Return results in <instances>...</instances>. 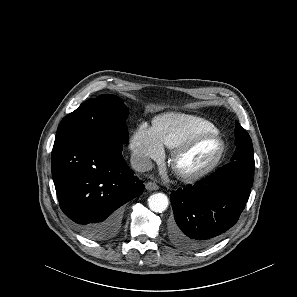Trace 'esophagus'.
<instances>
[{"mask_svg": "<svg viewBox=\"0 0 297 297\" xmlns=\"http://www.w3.org/2000/svg\"><path fill=\"white\" fill-rule=\"evenodd\" d=\"M145 188L149 191H153L157 190L159 186L155 182L149 181L145 184Z\"/></svg>", "mask_w": 297, "mask_h": 297, "instance_id": "esophagus-1", "label": "esophagus"}]
</instances>
